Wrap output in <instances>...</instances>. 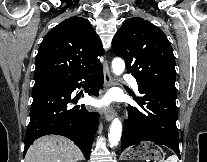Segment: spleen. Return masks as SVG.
Instances as JSON below:
<instances>
[{"instance_id":"3e777b00","label":"spleen","mask_w":207,"mask_h":162,"mask_svg":"<svg viewBox=\"0 0 207 162\" xmlns=\"http://www.w3.org/2000/svg\"><path fill=\"white\" fill-rule=\"evenodd\" d=\"M177 161H178V157L176 155H171L164 162H177Z\"/></svg>"}]
</instances>
